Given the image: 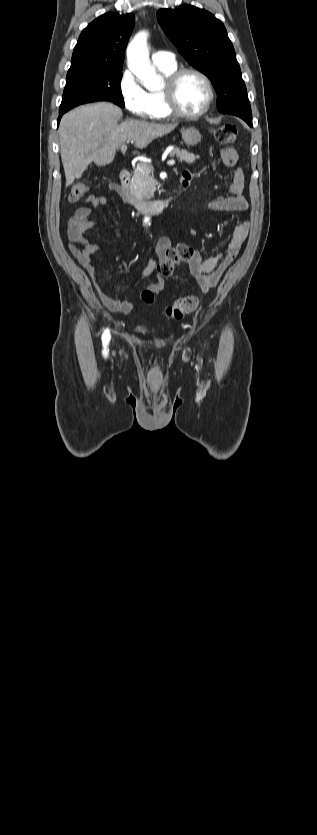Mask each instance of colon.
Here are the masks:
<instances>
[{"mask_svg": "<svg viewBox=\"0 0 317 835\" xmlns=\"http://www.w3.org/2000/svg\"><path fill=\"white\" fill-rule=\"evenodd\" d=\"M213 136L215 140L223 145V146H230L234 143L236 139V128L233 125H223L217 128H214ZM87 194V187L82 182L75 183L69 193V201L72 203L78 202L83 199ZM195 250L189 246L183 247L181 250L178 251L177 258L178 260L174 262L166 261L159 265V272L162 276L167 278H174L175 277V267L180 262V260H186L190 256L193 255ZM141 299L145 303H152L155 299V294L152 290L146 289L141 293ZM199 305V299L196 296H185L178 298L175 300L166 310L168 316L174 319H181L185 314L190 313L197 309Z\"/></svg>", "mask_w": 317, "mask_h": 835, "instance_id": "colon-1", "label": "colon"}]
</instances>
